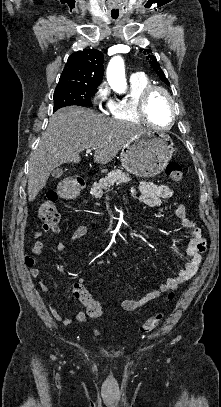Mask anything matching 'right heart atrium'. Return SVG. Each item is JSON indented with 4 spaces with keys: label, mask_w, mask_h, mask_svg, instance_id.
Instances as JSON below:
<instances>
[{
    "label": "right heart atrium",
    "mask_w": 221,
    "mask_h": 407,
    "mask_svg": "<svg viewBox=\"0 0 221 407\" xmlns=\"http://www.w3.org/2000/svg\"><path fill=\"white\" fill-rule=\"evenodd\" d=\"M92 102L99 110L110 109L112 99L110 98V89L106 82L98 85L92 96Z\"/></svg>",
    "instance_id": "right-heart-atrium-1"
}]
</instances>
